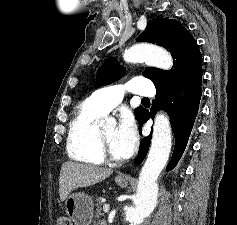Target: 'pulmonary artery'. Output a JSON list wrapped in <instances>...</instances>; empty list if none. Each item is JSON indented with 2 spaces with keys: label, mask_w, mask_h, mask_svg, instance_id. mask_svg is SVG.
Masks as SVG:
<instances>
[{
  "label": "pulmonary artery",
  "mask_w": 237,
  "mask_h": 225,
  "mask_svg": "<svg viewBox=\"0 0 237 225\" xmlns=\"http://www.w3.org/2000/svg\"><path fill=\"white\" fill-rule=\"evenodd\" d=\"M126 91L152 97L155 88L147 79L136 77L126 84H113L100 88L91 94L90 99L102 113L106 114L122 101Z\"/></svg>",
  "instance_id": "e3ab8cb5"
}]
</instances>
